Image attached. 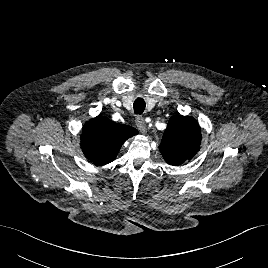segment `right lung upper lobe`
I'll use <instances>...</instances> for the list:
<instances>
[{
  "mask_svg": "<svg viewBox=\"0 0 268 268\" xmlns=\"http://www.w3.org/2000/svg\"><path fill=\"white\" fill-rule=\"evenodd\" d=\"M138 131L101 115L87 121L82 129L81 148L85 157L96 165L116 159L122 144Z\"/></svg>",
  "mask_w": 268,
  "mask_h": 268,
  "instance_id": "1",
  "label": "right lung upper lobe"
}]
</instances>
